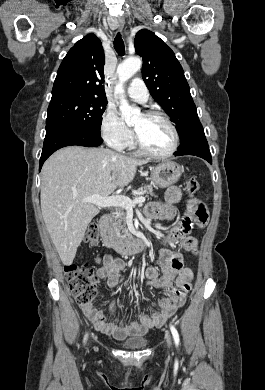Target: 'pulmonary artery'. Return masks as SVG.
Segmentation results:
<instances>
[{
    "label": "pulmonary artery",
    "instance_id": "obj_1",
    "mask_svg": "<svg viewBox=\"0 0 265 390\" xmlns=\"http://www.w3.org/2000/svg\"><path fill=\"white\" fill-rule=\"evenodd\" d=\"M127 94L131 99L140 103H144L148 99L147 87L139 77H135L131 80L127 88Z\"/></svg>",
    "mask_w": 265,
    "mask_h": 390
}]
</instances>
